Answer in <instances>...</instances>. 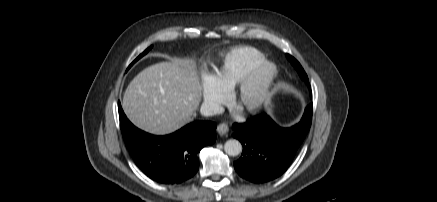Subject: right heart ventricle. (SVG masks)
I'll return each mask as SVG.
<instances>
[{
    "mask_svg": "<svg viewBox=\"0 0 437 202\" xmlns=\"http://www.w3.org/2000/svg\"><path fill=\"white\" fill-rule=\"evenodd\" d=\"M264 55L253 47H238L226 54L223 63L214 73L218 84L226 91L232 90L258 63Z\"/></svg>",
    "mask_w": 437,
    "mask_h": 202,
    "instance_id": "obj_1",
    "label": "right heart ventricle"
}]
</instances>
